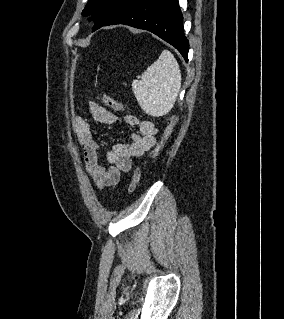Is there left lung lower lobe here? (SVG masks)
Returning a JSON list of instances; mask_svg holds the SVG:
<instances>
[{"label":"left lung lower lobe","instance_id":"1","mask_svg":"<svg viewBox=\"0 0 284 319\" xmlns=\"http://www.w3.org/2000/svg\"><path fill=\"white\" fill-rule=\"evenodd\" d=\"M125 24L148 30L174 46L188 61L189 42L184 35L178 0H124L103 25Z\"/></svg>","mask_w":284,"mask_h":319}]
</instances>
